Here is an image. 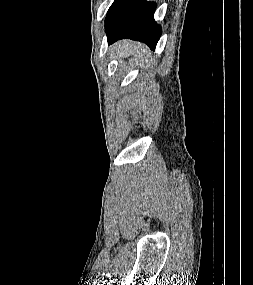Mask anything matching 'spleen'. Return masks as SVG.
I'll return each instance as SVG.
<instances>
[{"label": "spleen", "mask_w": 253, "mask_h": 285, "mask_svg": "<svg viewBox=\"0 0 253 285\" xmlns=\"http://www.w3.org/2000/svg\"><path fill=\"white\" fill-rule=\"evenodd\" d=\"M119 48L120 49H124L125 51L132 52V53L138 55V58H139L140 61H143L148 56L147 49L143 45H141V44H136V43H133V42L125 41V42H122L119 45ZM133 60H135L136 63H138V60H137L136 57L133 58Z\"/></svg>", "instance_id": "1"}]
</instances>
